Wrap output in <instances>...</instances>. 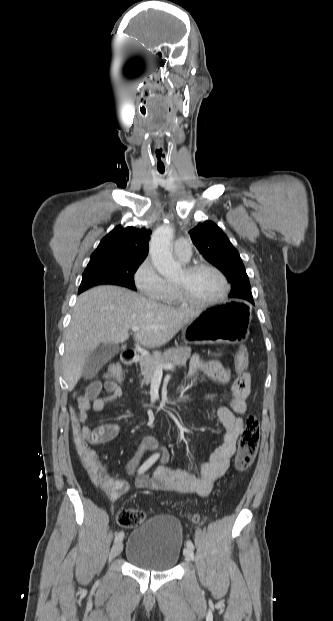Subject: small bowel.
Segmentation results:
<instances>
[{
	"label": "small bowel",
	"instance_id": "obj_1",
	"mask_svg": "<svg viewBox=\"0 0 333 621\" xmlns=\"http://www.w3.org/2000/svg\"><path fill=\"white\" fill-rule=\"evenodd\" d=\"M200 371L220 383L226 382L229 378L227 369L220 362L207 361L200 355H195L190 362L188 375L192 377ZM103 390L107 392V395L101 397L99 395ZM249 394L250 376L245 372L236 377L231 384L229 406H221L217 410V417L224 428L221 444L207 458L202 457L200 449L195 450L199 457L197 475L185 470L167 467L168 455L162 453V465L152 477H138L136 486L157 491L193 493L199 496L209 495L214 482L226 473L231 459L236 453V443L243 429L241 415L247 411ZM122 395L123 390L118 382L115 379H109L104 384L100 381L90 382L84 387L83 393L77 397V419L82 425V433L89 443L101 444L119 436L121 428L116 423H106L92 429L88 426V422L92 402L94 411L101 413L107 403L119 399ZM158 448V443L154 438H145L142 452L129 460L126 466L127 471L133 474L144 454ZM112 485L113 491L109 495L112 500L120 497L129 488L128 483L124 480L112 479Z\"/></svg>",
	"mask_w": 333,
	"mask_h": 621
}]
</instances>
